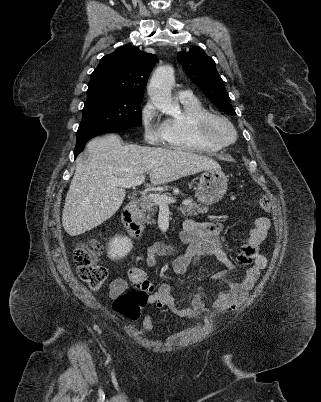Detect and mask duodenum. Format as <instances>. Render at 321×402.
Here are the masks:
<instances>
[{
  "label": "duodenum",
  "instance_id": "duodenum-1",
  "mask_svg": "<svg viewBox=\"0 0 321 402\" xmlns=\"http://www.w3.org/2000/svg\"><path fill=\"white\" fill-rule=\"evenodd\" d=\"M138 203L130 201L122 212V221L127 231L137 240H141L144 235V227L137 217Z\"/></svg>",
  "mask_w": 321,
  "mask_h": 402
}]
</instances>
